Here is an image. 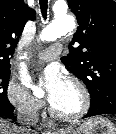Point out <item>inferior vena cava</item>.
<instances>
[{
	"instance_id": "obj_1",
	"label": "inferior vena cava",
	"mask_w": 116,
	"mask_h": 134,
	"mask_svg": "<svg viewBox=\"0 0 116 134\" xmlns=\"http://www.w3.org/2000/svg\"><path fill=\"white\" fill-rule=\"evenodd\" d=\"M38 118L39 116L37 109L33 106L19 109L17 115L18 122L21 124L18 129L19 133L24 134L26 131V126H32L36 124Z\"/></svg>"
}]
</instances>
